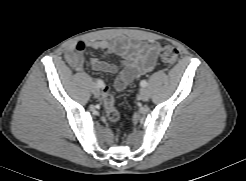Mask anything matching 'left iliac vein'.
Masks as SVG:
<instances>
[{"label": "left iliac vein", "mask_w": 246, "mask_h": 181, "mask_svg": "<svg viewBox=\"0 0 246 181\" xmlns=\"http://www.w3.org/2000/svg\"><path fill=\"white\" fill-rule=\"evenodd\" d=\"M150 98L149 91L147 89H141L139 93V99L142 101H147Z\"/></svg>", "instance_id": "4c4485c4"}]
</instances>
